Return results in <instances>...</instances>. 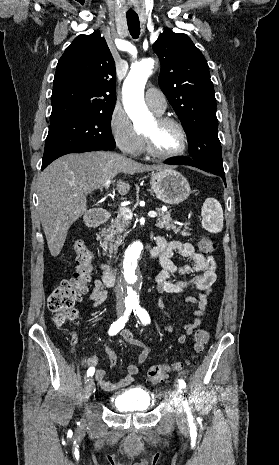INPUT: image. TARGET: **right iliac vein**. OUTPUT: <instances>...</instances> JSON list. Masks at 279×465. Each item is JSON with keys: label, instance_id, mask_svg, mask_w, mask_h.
<instances>
[{"label": "right iliac vein", "instance_id": "obj_1", "mask_svg": "<svg viewBox=\"0 0 279 465\" xmlns=\"http://www.w3.org/2000/svg\"><path fill=\"white\" fill-rule=\"evenodd\" d=\"M122 313H123L122 309L117 310V315L118 316L122 315ZM93 389H94V380L91 377V378H89L87 380V383L85 385V389H84V400L85 401L90 397V395L92 394Z\"/></svg>", "mask_w": 279, "mask_h": 465}]
</instances>
